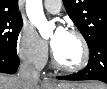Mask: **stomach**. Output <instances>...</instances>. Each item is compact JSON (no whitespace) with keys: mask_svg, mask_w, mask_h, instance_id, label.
Here are the masks:
<instances>
[{"mask_svg":"<svg viewBox=\"0 0 107 89\" xmlns=\"http://www.w3.org/2000/svg\"><path fill=\"white\" fill-rule=\"evenodd\" d=\"M48 89H82V87L76 84L60 83L48 87Z\"/></svg>","mask_w":107,"mask_h":89,"instance_id":"1","label":"stomach"}]
</instances>
